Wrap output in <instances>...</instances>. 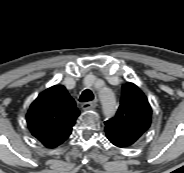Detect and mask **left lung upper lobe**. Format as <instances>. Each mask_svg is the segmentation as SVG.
Segmentation results:
<instances>
[{"label": "left lung upper lobe", "instance_id": "left-lung-upper-lobe-1", "mask_svg": "<svg viewBox=\"0 0 184 173\" xmlns=\"http://www.w3.org/2000/svg\"><path fill=\"white\" fill-rule=\"evenodd\" d=\"M151 113L144 93L135 84L128 82L122 86L120 106L115 117L105 122V132L131 146L150 127Z\"/></svg>", "mask_w": 184, "mask_h": 173}]
</instances>
